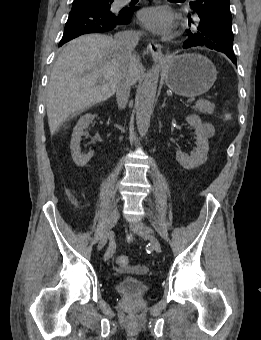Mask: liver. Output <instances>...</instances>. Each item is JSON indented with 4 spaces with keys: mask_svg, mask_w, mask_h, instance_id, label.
Instances as JSON below:
<instances>
[{
    "mask_svg": "<svg viewBox=\"0 0 261 340\" xmlns=\"http://www.w3.org/2000/svg\"><path fill=\"white\" fill-rule=\"evenodd\" d=\"M123 73H128L135 84L139 63L135 56L122 58L112 37L88 34L70 41L55 62L47 87L51 134L71 115L108 100Z\"/></svg>",
    "mask_w": 261,
    "mask_h": 340,
    "instance_id": "6515ba94",
    "label": "liver"
}]
</instances>
